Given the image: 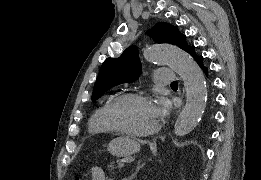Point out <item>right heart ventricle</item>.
<instances>
[{
	"instance_id": "right-heart-ventricle-1",
	"label": "right heart ventricle",
	"mask_w": 261,
	"mask_h": 180,
	"mask_svg": "<svg viewBox=\"0 0 261 180\" xmlns=\"http://www.w3.org/2000/svg\"><path fill=\"white\" fill-rule=\"evenodd\" d=\"M115 96H116L115 94L108 96L103 102H101L96 107V109L93 111V113L90 116L88 126H87V132L98 134L97 138H91L96 142H105L115 137L107 127L104 120V110Z\"/></svg>"
}]
</instances>
